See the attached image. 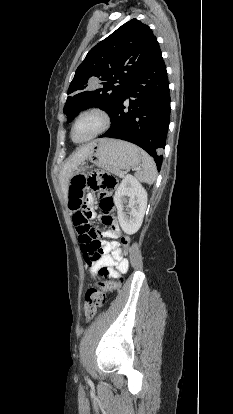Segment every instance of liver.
Returning <instances> with one entry per match:
<instances>
[{
    "label": "liver",
    "mask_w": 233,
    "mask_h": 414,
    "mask_svg": "<svg viewBox=\"0 0 233 414\" xmlns=\"http://www.w3.org/2000/svg\"><path fill=\"white\" fill-rule=\"evenodd\" d=\"M92 144H87L76 151L65 163L59 174V181L65 200H67L68 184L72 174L85 162L89 157Z\"/></svg>",
    "instance_id": "1"
}]
</instances>
